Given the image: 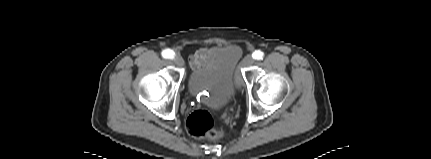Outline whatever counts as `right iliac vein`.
<instances>
[{
	"label": "right iliac vein",
	"instance_id": "1",
	"mask_svg": "<svg viewBox=\"0 0 431 159\" xmlns=\"http://www.w3.org/2000/svg\"><path fill=\"white\" fill-rule=\"evenodd\" d=\"M173 61H174V63H175L177 66H179V67H183V66H184V64H185V62H184L183 58H182L181 56H179V55H176V56L174 57Z\"/></svg>",
	"mask_w": 431,
	"mask_h": 159
}]
</instances>
